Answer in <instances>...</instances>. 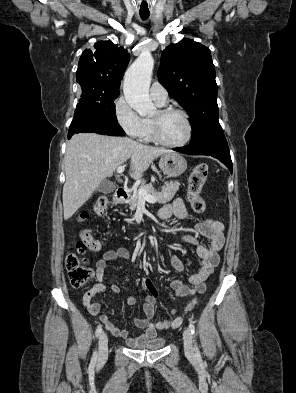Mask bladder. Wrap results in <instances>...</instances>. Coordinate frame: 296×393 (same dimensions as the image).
<instances>
[{
    "label": "bladder",
    "mask_w": 296,
    "mask_h": 393,
    "mask_svg": "<svg viewBox=\"0 0 296 393\" xmlns=\"http://www.w3.org/2000/svg\"><path fill=\"white\" fill-rule=\"evenodd\" d=\"M166 343V339L163 337H158L152 340H148L147 342L135 346L138 350H146V351H156L161 349Z\"/></svg>",
    "instance_id": "31cf9c89"
}]
</instances>
